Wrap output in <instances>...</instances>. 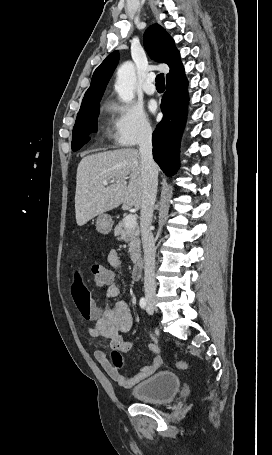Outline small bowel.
<instances>
[{"mask_svg": "<svg viewBox=\"0 0 272 455\" xmlns=\"http://www.w3.org/2000/svg\"><path fill=\"white\" fill-rule=\"evenodd\" d=\"M108 264L118 269L121 265L120 257L115 250H111L107 255ZM72 297L75 305L85 320H93V327L85 328L86 333L91 337L102 336L110 340L111 346L127 353L133 347V343L124 339V334L129 332L133 325V316L130 306L125 301H119L113 306L98 307L90 294L89 289L80 277H76L71 288ZM120 294V289L113 279L107 284V297L116 298ZM148 349L154 354L151 362L142 367L134 375L123 374L118 367L114 366L103 351L94 352V359L102 366L105 372L120 386L130 388L140 381L151 376L161 365L162 358L159 348L153 344H148Z\"/></svg>", "mask_w": 272, "mask_h": 455, "instance_id": "small-bowel-1", "label": "small bowel"}]
</instances>
